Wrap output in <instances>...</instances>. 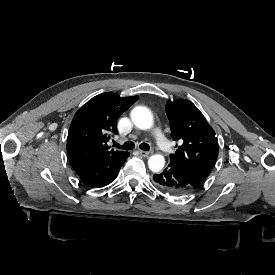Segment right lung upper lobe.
I'll list each match as a JSON object with an SVG mask.
<instances>
[{"label": "right lung upper lobe", "instance_id": "1", "mask_svg": "<svg viewBox=\"0 0 275 275\" xmlns=\"http://www.w3.org/2000/svg\"><path fill=\"white\" fill-rule=\"evenodd\" d=\"M137 99V96L122 98L106 92L93 97L76 112L67 138V153L72 167L125 153L110 149L107 142L111 134L117 133V118Z\"/></svg>", "mask_w": 275, "mask_h": 275}]
</instances>
